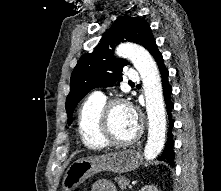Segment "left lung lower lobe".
<instances>
[{
  "label": "left lung lower lobe",
  "instance_id": "0a47b994",
  "mask_svg": "<svg viewBox=\"0 0 221 191\" xmlns=\"http://www.w3.org/2000/svg\"><path fill=\"white\" fill-rule=\"evenodd\" d=\"M151 55L154 57L158 68L159 72L161 75V81H162V86H163V93H164V99H165V104H166V110H167V115H168V120H169V131L167 135V140L164 146V149L161 153V155L158 157V160L167 162L168 164L172 165L174 162V140H173V135L171 132V129L174 125V121L172 120L171 117V111L174 108L173 103L171 102V93H172V87L168 83V70L164 66L163 63V57L161 53L158 51L157 45L155 40L152 41V43L149 45L147 49Z\"/></svg>",
  "mask_w": 221,
  "mask_h": 191
}]
</instances>
